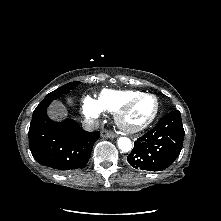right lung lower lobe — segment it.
Segmentation results:
<instances>
[{
    "label": "right lung lower lobe",
    "mask_w": 221,
    "mask_h": 221,
    "mask_svg": "<svg viewBox=\"0 0 221 221\" xmlns=\"http://www.w3.org/2000/svg\"><path fill=\"white\" fill-rule=\"evenodd\" d=\"M51 101L40 103L33 112L29 146L35 160L59 172L84 168L100 132H87L70 119L54 122L46 114Z\"/></svg>",
    "instance_id": "98d812e1"
}]
</instances>
